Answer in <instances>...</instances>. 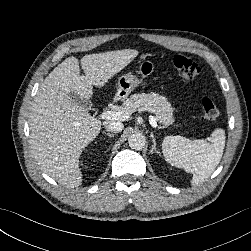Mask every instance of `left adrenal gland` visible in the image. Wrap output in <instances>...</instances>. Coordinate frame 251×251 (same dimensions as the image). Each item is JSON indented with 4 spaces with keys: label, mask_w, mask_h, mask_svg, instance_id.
Segmentation results:
<instances>
[{
    "label": "left adrenal gland",
    "mask_w": 251,
    "mask_h": 251,
    "mask_svg": "<svg viewBox=\"0 0 251 251\" xmlns=\"http://www.w3.org/2000/svg\"><path fill=\"white\" fill-rule=\"evenodd\" d=\"M150 136H151V138H152V141H153V145H152V148H151V153H153L154 151L156 152V153H158V151H156V140H155V138H154V135L151 133L150 134Z\"/></svg>",
    "instance_id": "left-adrenal-gland-1"
}]
</instances>
